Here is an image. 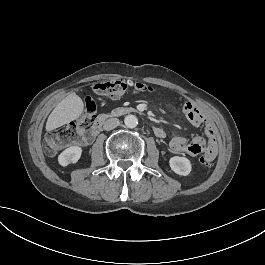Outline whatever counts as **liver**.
Instances as JSON below:
<instances>
[{
  "mask_svg": "<svg viewBox=\"0 0 265 265\" xmlns=\"http://www.w3.org/2000/svg\"><path fill=\"white\" fill-rule=\"evenodd\" d=\"M83 108L82 99L76 93L69 94L49 115L46 122V130L52 131L77 119L83 112Z\"/></svg>",
  "mask_w": 265,
  "mask_h": 265,
  "instance_id": "1",
  "label": "liver"
}]
</instances>
